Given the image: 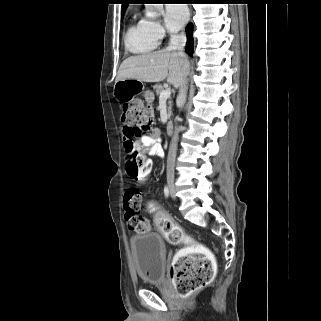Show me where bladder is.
<instances>
[{
    "mask_svg": "<svg viewBox=\"0 0 321 321\" xmlns=\"http://www.w3.org/2000/svg\"><path fill=\"white\" fill-rule=\"evenodd\" d=\"M130 249L138 276L148 284L164 280L166 250L163 238L153 232L134 235Z\"/></svg>",
    "mask_w": 321,
    "mask_h": 321,
    "instance_id": "31cf9c89",
    "label": "bladder"
}]
</instances>
